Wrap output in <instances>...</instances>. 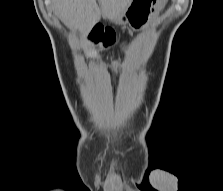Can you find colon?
Instances as JSON below:
<instances>
[{"label": "colon", "mask_w": 223, "mask_h": 191, "mask_svg": "<svg viewBox=\"0 0 223 191\" xmlns=\"http://www.w3.org/2000/svg\"><path fill=\"white\" fill-rule=\"evenodd\" d=\"M97 35V32H94L93 34H92V37H95ZM113 38H114V34H113V32L112 31H110V30H106L105 31V43L106 44H110V43H112V41H113Z\"/></svg>", "instance_id": "colon-1"}]
</instances>
